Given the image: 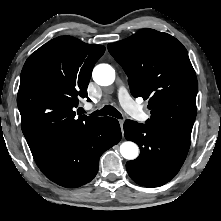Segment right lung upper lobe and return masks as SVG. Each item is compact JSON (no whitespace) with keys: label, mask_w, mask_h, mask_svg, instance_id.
Masks as SVG:
<instances>
[{"label":"right lung upper lobe","mask_w":221,"mask_h":221,"mask_svg":"<svg viewBox=\"0 0 221 221\" xmlns=\"http://www.w3.org/2000/svg\"><path fill=\"white\" fill-rule=\"evenodd\" d=\"M105 47L71 36L54 38L32 53L21 72L17 104L22 131L36 163L99 118L75 114L87 97L92 69Z\"/></svg>","instance_id":"cb5924a9"}]
</instances>
